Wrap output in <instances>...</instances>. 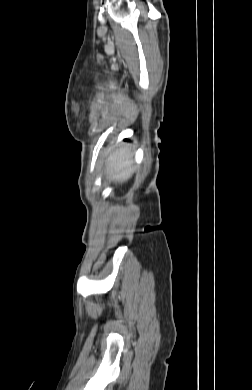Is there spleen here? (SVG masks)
Wrapping results in <instances>:
<instances>
[{
    "instance_id": "obj_1",
    "label": "spleen",
    "mask_w": 252,
    "mask_h": 390,
    "mask_svg": "<svg viewBox=\"0 0 252 390\" xmlns=\"http://www.w3.org/2000/svg\"><path fill=\"white\" fill-rule=\"evenodd\" d=\"M108 168L110 171H114V180L126 181L132 174L131 155L125 149L117 150L109 157Z\"/></svg>"
}]
</instances>
